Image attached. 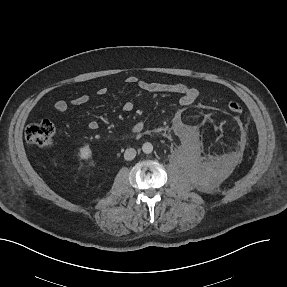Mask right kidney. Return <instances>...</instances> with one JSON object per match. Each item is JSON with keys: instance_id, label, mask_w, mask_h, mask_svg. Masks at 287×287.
Listing matches in <instances>:
<instances>
[{"instance_id": "obj_1", "label": "right kidney", "mask_w": 287, "mask_h": 287, "mask_svg": "<svg viewBox=\"0 0 287 287\" xmlns=\"http://www.w3.org/2000/svg\"><path fill=\"white\" fill-rule=\"evenodd\" d=\"M79 157L83 160H88L92 156V150L89 145H85L79 148Z\"/></svg>"}]
</instances>
